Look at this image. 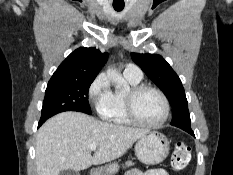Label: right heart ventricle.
Returning a JSON list of instances; mask_svg holds the SVG:
<instances>
[{"label": "right heart ventricle", "instance_id": "obj_1", "mask_svg": "<svg viewBox=\"0 0 233 175\" xmlns=\"http://www.w3.org/2000/svg\"><path fill=\"white\" fill-rule=\"evenodd\" d=\"M126 81L132 87L140 84L141 79L125 76ZM126 91H111L108 96L98 105V114L101 119L116 126L126 127L132 125L125 110Z\"/></svg>", "mask_w": 233, "mask_h": 175}]
</instances>
